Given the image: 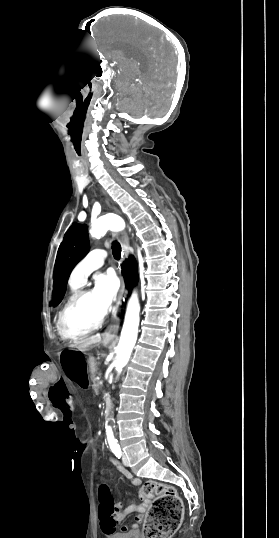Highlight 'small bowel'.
Instances as JSON below:
<instances>
[{
    "mask_svg": "<svg viewBox=\"0 0 279 538\" xmlns=\"http://www.w3.org/2000/svg\"><path fill=\"white\" fill-rule=\"evenodd\" d=\"M110 462L116 467V469L124 475L129 482L133 486H139L141 484V480L139 478L133 477V475L124 468L119 462L111 459ZM141 500L142 502L140 504H136L134 501H129L126 505L123 503H117L116 504V514L111 518H102L101 527L104 533H111L114 532L117 528V526L125 520V518L131 514L136 513L135 516V522L131 526V530H136L138 528L139 523L144 519L145 512L148 508V500L145 498L143 493L141 492ZM121 532H127L129 531V528L126 525H122L120 528Z\"/></svg>",
    "mask_w": 279,
    "mask_h": 538,
    "instance_id": "1",
    "label": "small bowel"
}]
</instances>
